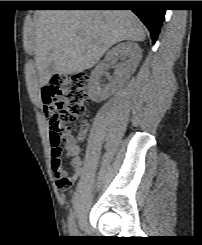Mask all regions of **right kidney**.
<instances>
[{
    "label": "right kidney",
    "mask_w": 202,
    "mask_h": 245,
    "mask_svg": "<svg viewBox=\"0 0 202 245\" xmlns=\"http://www.w3.org/2000/svg\"><path fill=\"white\" fill-rule=\"evenodd\" d=\"M119 56H123L124 60L116 66L115 76L116 81L113 87H101L99 79L104 73L106 66L110 63H115ZM142 58V50L138 44L133 42H123L117 44L109 50L105 59L100 62L91 72L88 89L91 99L95 102H101L111 95V90L123 83L131 74H133L139 65Z\"/></svg>",
    "instance_id": "1"
}]
</instances>
